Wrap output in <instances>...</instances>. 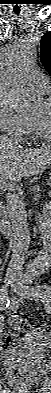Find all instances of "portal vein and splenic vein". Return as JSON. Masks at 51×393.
Masks as SVG:
<instances>
[{
    "label": "portal vein and splenic vein",
    "instance_id": "obj_1",
    "mask_svg": "<svg viewBox=\"0 0 51 393\" xmlns=\"http://www.w3.org/2000/svg\"><path fill=\"white\" fill-rule=\"evenodd\" d=\"M1 186L8 187V188L20 189V187H18V186H16V185H11V184H9V183H6L4 180H1Z\"/></svg>",
    "mask_w": 51,
    "mask_h": 393
}]
</instances>
